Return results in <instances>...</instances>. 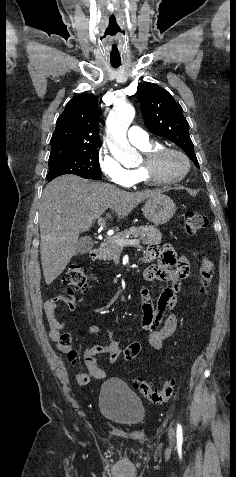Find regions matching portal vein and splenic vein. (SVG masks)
Instances as JSON below:
<instances>
[{
	"instance_id": "obj_1",
	"label": "portal vein and splenic vein",
	"mask_w": 236,
	"mask_h": 477,
	"mask_svg": "<svg viewBox=\"0 0 236 477\" xmlns=\"http://www.w3.org/2000/svg\"><path fill=\"white\" fill-rule=\"evenodd\" d=\"M105 224V221L103 218H99L98 219V225L100 227H103ZM116 243L120 246V247H125V246H138L140 244V240L139 239H132V240H124V239H117L116 240Z\"/></svg>"
}]
</instances>
